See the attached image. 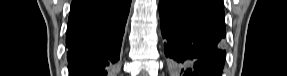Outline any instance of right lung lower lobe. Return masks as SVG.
Returning <instances> with one entry per match:
<instances>
[{
	"label": "right lung lower lobe",
	"instance_id": "98d812e1",
	"mask_svg": "<svg viewBox=\"0 0 287 76\" xmlns=\"http://www.w3.org/2000/svg\"><path fill=\"white\" fill-rule=\"evenodd\" d=\"M131 0H73L66 46L71 76H111Z\"/></svg>",
	"mask_w": 287,
	"mask_h": 76
}]
</instances>
